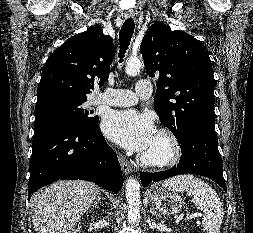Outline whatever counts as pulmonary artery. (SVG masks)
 Masks as SVG:
<instances>
[{
    "instance_id": "obj_1",
    "label": "pulmonary artery",
    "mask_w": 253,
    "mask_h": 233,
    "mask_svg": "<svg viewBox=\"0 0 253 233\" xmlns=\"http://www.w3.org/2000/svg\"><path fill=\"white\" fill-rule=\"evenodd\" d=\"M152 94V84L149 80H140L135 90H124V89H107L105 93L101 94L97 99L96 103L127 107L137 103L140 99H147Z\"/></svg>"
}]
</instances>
